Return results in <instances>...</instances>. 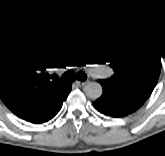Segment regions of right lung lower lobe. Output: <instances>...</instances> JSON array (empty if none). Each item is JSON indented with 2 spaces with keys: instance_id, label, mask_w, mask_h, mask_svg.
Listing matches in <instances>:
<instances>
[{
  "instance_id": "1",
  "label": "right lung lower lobe",
  "mask_w": 165,
  "mask_h": 156,
  "mask_svg": "<svg viewBox=\"0 0 165 156\" xmlns=\"http://www.w3.org/2000/svg\"><path fill=\"white\" fill-rule=\"evenodd\" d=\"M70 91H71V84H69V88L66 90V92L51 107H49L48 109L44 110L43 112L37 115H34L24 120L35 124H40L52 119L61 109L62 103L66 100Z\"/></svg>"
}]
</instances>
